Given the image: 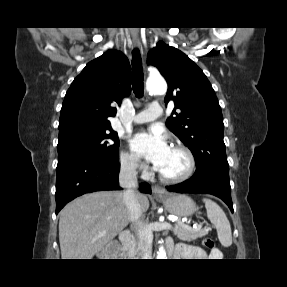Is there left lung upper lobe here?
<instances>
[{
  "mask_svg": "<svg viewBox=\"0 0 287 287\" xmlns=\"http://www.w3.org/2000/svg\"><path fill=\"white\" fill-rule=\"evenodd\" d=\"M147 62L168 83L164 102L175 104V116L168 118L166 126L192 151L196 162L192 177H229L222 111L203 71L186 54L162 41L149 51Z\"/></svg>",
  "mask_w": 287,
  "mask_h": 287,
  "instance_id": "left-lung-upper-lobe-1",
  "label": "left lung upper lobe"
}]
</instances>
